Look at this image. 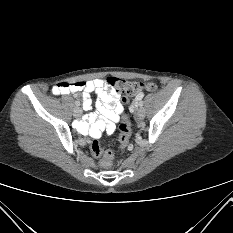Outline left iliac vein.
I'll use <instances>...</instances> for the list:
<instances>
[{"label": "left iliac vein", "mask_w": 233, "mask_h": 233, "mask_svg": "<svg viewBox=\"0 0 233 233\" xmlns=\"http://www.w3.org/2000/svg\"><path fill=\"white\" fill-rule=\"evenodd\" d=\"M137 117L143 119L145 117V110L143 107H139L137 110Z\"/></svg>", "instance_id": "left-iliac-vein-1"}]
</instances>
